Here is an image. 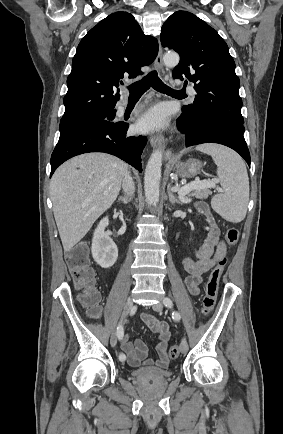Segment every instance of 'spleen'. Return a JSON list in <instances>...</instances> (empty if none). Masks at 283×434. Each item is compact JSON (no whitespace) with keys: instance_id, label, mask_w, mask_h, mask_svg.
<instances>
[{"instance_id":"obj_1","label":"spleen","mask_w":283,"mask_h":434,"mask_svg":"<svg viewBox=\"0 0 283 434\" xmlns=\"http://www.w3.org/2000/svg\"><path fill=\"white\" fill-rule=\"evenodd\" d=\"M196 149L210 155L217 165L223 193L213 197V210L229 222H241L249 201V178L244 161L233 150L221 145L203 144Z\"/></svg>"}]
</instances>
